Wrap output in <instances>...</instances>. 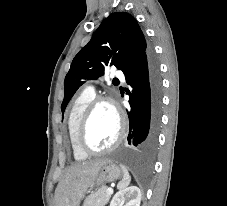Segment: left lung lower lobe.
Returning a JSON list of instances; mask_svg holds the SVG:
<instances>
[{"label":"left lung lower lobe","mask_w":227,"mask_h":206,"mask_svg":"<svg viewBox=\"0 0 227 206\" xmlns=\"http://www.w3.org/2000/svg\"><path fill=\"white\" fill-rule=\"evenodd\" d=\"M131 89L128 149L152 151L157 143L161 112V80L159 68L149 49L127 73L124 74Z\"/></svg>","instance_id":"obj_1"}]
</instances>
